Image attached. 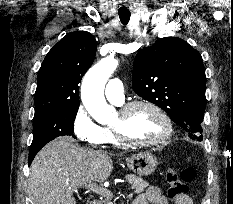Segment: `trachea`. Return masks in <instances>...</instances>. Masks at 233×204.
Wrapping results in <instances>:
<instances>
[{
  "mask_svg": "<svg viewBox=\"0 0 233 204\" xmlns=\"http://www.w3.org/2000/svg\"><path fill=\"white\" fill-rule=\"evenodd\" d=\"M118 14L122 24L124 25L128 24L131 16L130 12H119Z\"/></svg>",
  "mask_w": 233,
  "mask_h": 204,
  "instance_id": "1",
  "label": "trachea"
}]
</instances>
